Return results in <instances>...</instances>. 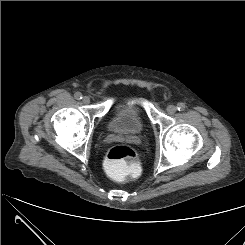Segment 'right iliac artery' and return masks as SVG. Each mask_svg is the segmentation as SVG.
I'll use <instances>...</instances> for the list:
<instances>
[{
  "label": "right iliac artery",
  "mask_w": 245,
  "mask_h": 245,
  "mask_svg": "<svg viewBox=\"0 0 245 245\" xmlns=\"http://www.w3.org/2000/svg\"><path fill=\"white\" fill-rule=\"evenodd\" d=\"M74 96H75V98H76L77 100L82 99V94H81L80 92L75 93Z\"/></svg>",
  "instance_id": "right-iliac-artery-1"
}]
</instances>
